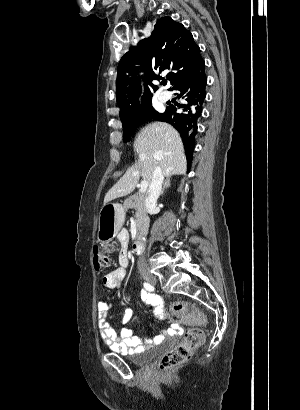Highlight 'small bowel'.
<instances>
[{"label":"small bowel","mask_w":300,"mask_h":410,"mask_svg":"<svg viewBox=\"0 0 300 410\" xmlns=\"http://www.w3.org/2000/svg\"><path fill=\"white\" fill-rule=\"evenodd\" d=\"M121 244L119 251V267L106 274L101 283L105 288L117 289L120 288L126 278V268L129 263L128 258V235L121 232L118 236ZM141 299L151 308L156 318L159 320H167L168 316L162 307V299L157 294L140 291ZM114 306V303L100 301L97 303V321L99 326L100 336L103 342L112 350L122 354H134L144 350L146 347L159 342L166 335L175 333L179 326L172 324L171 329L163 331L153 338H142L135 333V330L128 326L133 316V309L127 306L124 310L119 332L114 330L106 320L107 312Z\"/></svg>","instance_id":"c3829d8e"}]
</instances>
